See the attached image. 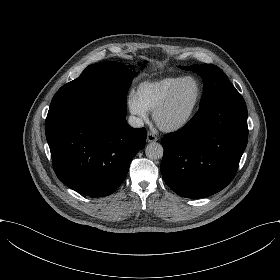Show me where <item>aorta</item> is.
I'll use <instances>...</instances> for the list:
<instances>
[{
  "label": "aorta",
  "mask_w": 280,
  "mask_h": 280,
  "mask_svg": "<svg viewBox=\"0 0 280 280\" xmlns=\"http://www.w3.org/2000/svg\"><path fill=\"white\" fill-rule=\"evenodd\" d=\"M163 147L157 142L149 143L146 147L145 153L147 158L157 160L163 157Z\"/></svg>",
  "instance_id": "obj_1"
}]
</instances>
